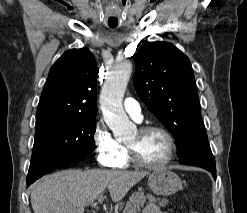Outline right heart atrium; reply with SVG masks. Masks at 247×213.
Here are the masks:
<instances>
[{"label": "right heart atrium", "instance_id": "right-heart-atrium-1", "mask_svg": "<svg viewBox=\"0 0 247 213\" xmlns=\"http://www.w3.org/2000/svg\"><path fill=\"white\" fill-rule=\"evenodd\" d=\"M92 141L98 162L104 167H117L123 157L124 147L113 137L105 124H96Z\"/></svg>", "mask_w": 247, "mask_h": 213}]
</instances>
